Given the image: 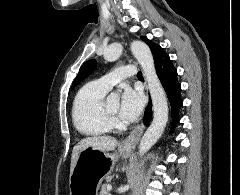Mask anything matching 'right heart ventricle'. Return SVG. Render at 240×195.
Returning <instances> with one entry per match:
<instances>
[{
	"instance_id": "1",
	"label": "right heart ventricle",
	"mask_w": 240,
	"mask_h": 195,
	"mask_svg": "<svg viewBox=\"0 0 240 195\" xmlns=\"http://www.w3.org/2000/svg\"><path fill=\"white\" fill-rule=\"evenodd\" d=\"M108 89L102 83L93 81L86 84L77 94L72 118L75 127L84 135L98 137L110 130L103 106Z\"/></svg>"
}]
</instances>
